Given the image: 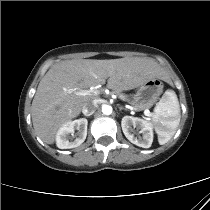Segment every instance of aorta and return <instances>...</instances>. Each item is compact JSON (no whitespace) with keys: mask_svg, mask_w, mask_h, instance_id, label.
<instances>
[{"mask_svg":"<svg viewBox=\"0 0 210 210\" xmlns=\"http://www.w3.org/2000/svg\"><path fill=\"white\" fill-rule=\"evenodd\" d=\"M102 112H103V114H105V115H110V114L112 113V107L109 106V105H104V106L102 107Z\"/></svg>","mask_w":210,"mask_h":210,"instance_id":"aorta-1","label":"aorta"}]
</instances>
